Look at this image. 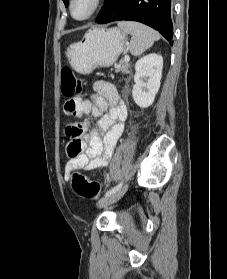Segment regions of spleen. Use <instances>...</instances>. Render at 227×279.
I'll return each instance as SVG.
<instances>
[{
	"mask_svg": "<svg viewBox=\"0 0 227 279\" xmlns=\"http://www.w3.org/2000/svg\"><path fill=\"white\" fill-rule=\"evenodd\" d=\"M118 27L132 36L129 49L130 53L134 56H140L155 41L160 39V35L156 31L141 23L120 21L118 22Z\"/></svg>",
	"mask_w": 227,
	"mask_h": 279,
	"instance_id": "1",
	"label": "spleen"
}]
</instances>
